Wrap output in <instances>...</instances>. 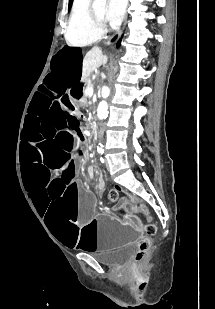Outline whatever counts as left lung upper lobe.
I'll use <instances>...</instances> for the list:
<instances>
[{
	"mask_svg": "<svg viewBox=\"0 0 215 309\" xmlns=\"http://www.w3.org/2000/svg\"><path fill=\"white\" fill-rule=\"evenodd\" d=\"M72 1H73V0H70V1H69V7L71 6Z\"/></svg>",
	"mask_w": 215,
	"mask_h": 309,
	"instance_id": "1",
	"label": "left lung upper lobe"
}]
</instances>
